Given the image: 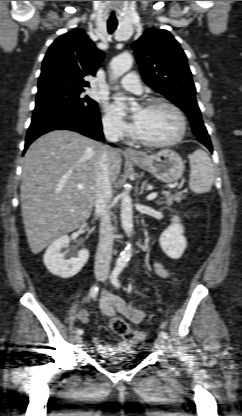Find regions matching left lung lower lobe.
<instances>
[{"label": "left lung lower lobe", "mask_w": 242, "mask_h": 416, "mask_svg": "<svg viewBox=\"0 0 242 416\" xmlns=\"http://www.w3.org/2000/svg\"><path fill=\"white\" fill-rule=\"evenodd\" d=\"M201 143H203L212 152L213 149H212V144H211L210 139L202 141Z\"/></svg>", "instance_id": "1"}]
</instances>
